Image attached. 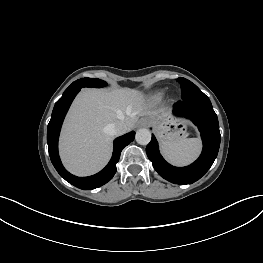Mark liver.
<instances>
[{
  "label": "liver",
  "instance_id": "obj_1",
  "mask_svg": "<svg viewBox=\"0 0 263 263\" xmlns=\"http://www.w3.org/2000/svg\"><path fill=\"white\" fill-rule=\"evenodd\" d=\"M143 115L168 122L170 111H146L143 95L130 88L84 89L76 97L66 117L60 156L66 169L77 176L100 171L109 161L112 138L106 126L117 121L131 130Z\"/></svg>",
  "mask_w": 263,
  "mask_h": 263
}]
</instances>
